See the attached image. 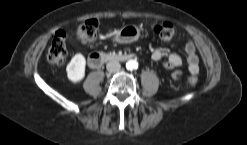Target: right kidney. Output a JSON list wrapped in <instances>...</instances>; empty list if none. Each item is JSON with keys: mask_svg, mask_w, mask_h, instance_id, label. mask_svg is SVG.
<instances>
[{"mask_svg": "<svg viewBox=\"0 0 247 145\" xmlns=\"http://www.w3.org/2000/svg\"><path fill=\"white\" fill-rule=\"evenodd\" d=\"M86 59L78 53L72 57L71 61L66 67L67 77L73 83L80 82L85 77Z\"/></svg>", "mask_w": 247, "mask_h": 145, "instance_id": "1", "label": "right kidney"}]
</instances>
